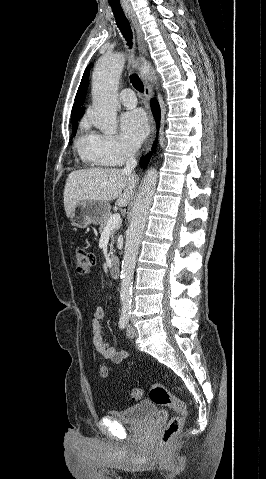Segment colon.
<instances>
[{
  "label": "colon",
  "mask_w": 266,
  "mask_h": 479,
  "mask_svg": "<svg viewBox=\"0 0 266 479\" xmlns=\"http://www.w3.org/2000/svg\"><path fill=\"white\" fill-rule=\"evenodd\" d=\"M73 260L76 265L77 273L80 275H88L95 263L94 255L83 248L74 249ZM107 374V367L101 366L100 375L106 377ZM142 396L143 393L140 389L135 388L131 391V397L134 400H139ZM149 398L155 404L169 407L175 412V415L169 420L160 436L161 443L167 445L180 432L188 414L187 407L181 399L172 395L159 383H155L152 386L149 392Z\"/></svg>",
  "instance_id": "1"
}]
</instances>
